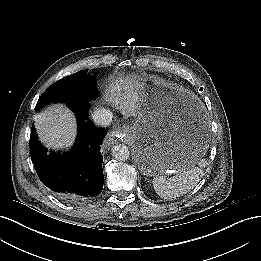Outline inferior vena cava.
Returning <instances> with one entry per match:
<instances>
[{"mask_svg": "<svg viewBox=\"0 0 261 261\" xmlns=\"http://www.w3.org/2000/svg\"><path fill=\"white\" fill-rule=\"evenodd\" d=\"M113 118V114L109 109L98 108L92 113V119L96 125L108 126Z\"/></svg>", "mask_w": 261, "mask_h": 261, "instance_id": "inferior-vena-cava-1", "label": "inferior vena cava"}]
</instances>
